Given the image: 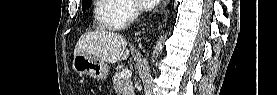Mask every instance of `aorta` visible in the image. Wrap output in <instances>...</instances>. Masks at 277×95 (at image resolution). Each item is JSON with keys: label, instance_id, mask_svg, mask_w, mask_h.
I'll use <instances>...</instances> for the list:
<instances>
[{"label": "aorta", "instance_id": "aorta-1", "mask_svg": "<svg viewBox=\"0 0 277 95\" xmlns=\"http://www.w3.org/2000/svg\"><path fill=\"white\" fill-rule=\"evenodd\" d=\"M165 39H166V36H161L159 38V41L156 43V46L152 55V63L154 62V59H156L159 53L162 51Z\"/></svg>", "mask_w": 277, "mask_h": 95}]
</instances>
